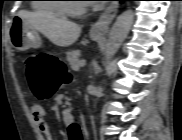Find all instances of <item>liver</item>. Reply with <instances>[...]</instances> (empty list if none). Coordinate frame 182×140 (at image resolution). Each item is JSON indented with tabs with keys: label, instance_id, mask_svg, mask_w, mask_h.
I'll use <instances>...</instances> for the list:
<instances>
[{
	"label": "liver",
	"instance_id": "6515ba94",
	"mask_svg": "<svg viewBox=\"0 0 182 140\" xmlns=\"http://www.w3.org/2000/svg\"><path fill=\"white\" fill-rule=\"evenodd\" d=\"M19 16L26 19L33 29L41 32L57 46L67 47L72 45L81 33V27L76 23L52 14L21 11Z\"/></svg>",
	"mask_w": 182,
	"mask_h": 140
}]
</instances>
